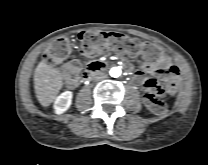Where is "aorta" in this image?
Instances as JSON below:
<instances>
[{
    "label": "aorta",
    "mask_w": 208,
    "mask_h": 165,
    "mask_svg": "<svg viewBox=\"0 0 208 165\" xmlns=\"http://www.w3.org/2000/svg\"><path fill=\"white\" fill-rule=\"evenodd\" d=\"M122 70L121 67L117 66V67H112L109 71V74L111 77L117 78L121 75Z\"/></svg>",
    "instance_id": "762f6f07"
}]
</instances>
